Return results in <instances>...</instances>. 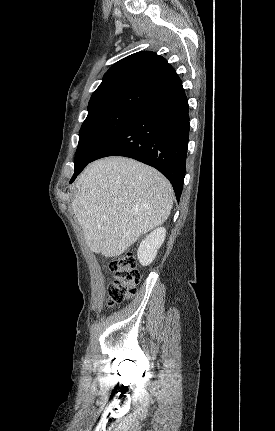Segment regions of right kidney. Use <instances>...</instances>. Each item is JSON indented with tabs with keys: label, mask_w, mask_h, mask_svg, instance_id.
<instances>
[{
	"label": "right kidney",
	"mask_w": 275,
	"mask_h": 431,
	"mask_svg": "<svg viewBox=\"0 0 275 431\" xmlns=\"http://www.w3.org/2000/svg\"><path fill=\"white\" fill-rule=\"evenodd\" d=\"M165 236V228L160 227L151 232L146 239L140 243L137 256L141 265L148 266L152 263L157 255V250L164 242Z\"/></svg>",
	"instance_id": "obj_1"
}]
</instances>
